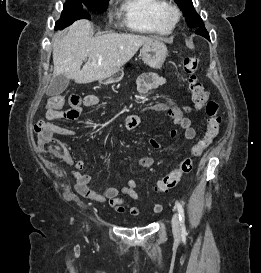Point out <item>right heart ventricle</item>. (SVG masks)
Returning <instances> with one entry per match:
<instances>
[{"instance_id":"1","label":"right heart ventricle","mask_w":261,"mask_h":273,"mask_svg":"<svg viewBox=\"0 0 261 273\" xmlns=\"http://www.w3.org/2000/svg\"><path fill=\"white\" fill-rule=\"evenodd\" d=\"M166 0H122L119 14L133 31L166 35L171 29L162 20L161 13Z\"/></svg>"}]
</instances>
